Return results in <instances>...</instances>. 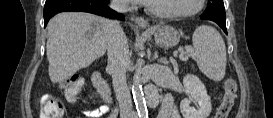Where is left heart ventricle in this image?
I'll list each match as a JSON object with an SVG mask.
<instances>
[{"mask_svg":"<svg viewBox=\"0 0 273 118\" xmlns=\"http://www.w3.org/2000/svg\"><path fill=\"white\" fill-rule=\"evenodd\" d=\"M150 3L160 12H186L196 6L197 0H153Z\"/></svg>","mask_w":273,"mask_h":118,"instance_id":"obj_1","label":"left heart ventricle"}]
</instances>
